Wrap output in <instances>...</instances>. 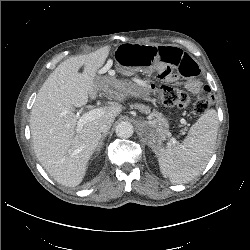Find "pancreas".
Segmentation results:
<instances>
[{
	"label": "pancreas",
	"instance_id": "1",
	"mask_svg": "<svg viewBox=\"0 0 250 250\" xmlns=\"http://www.w3.org/2000/svg\"><path fill=\"white\" fill-rule=\"evenodd\" d=\"M136 107H138L139 109L145 110V111H148V110H149L148 107H145V106H142V105H136ZM157 117H158V118H161L160 114H157Z\"/></svg>",
	"mask_w": 250,
	"mask_h": 250
}]
</instances>
